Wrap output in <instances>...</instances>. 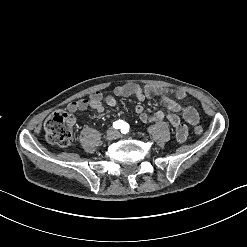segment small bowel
<instances>
[{
	"mask_svg": "<svg viewBox=\"0 0 247 247\" xmlns=\"http://www.w3.org/2000/svg\"><path fill=\"white\" fill-rule=\"evenodd\" d=\"M139 86L140 85L135 83L118 85L114 88L113 94H108L105 97L100 91H95L91 94L89 99L70 102L67 105V110L71 113H75L91 108L97 112H103L104 105L114 107L117 104V97L133 96L139 101H144L138 95ZM154 88L155 95L160 97L161 104L169 111V114L165 116L162 111L148 114L140 104L135 106V112L143 123L161 121L166 118L169 124L176 130L175 136L177 142L183 143L186 140L188 131L186 126L181 125L179 113L185 115L186 123L189 126L197 127L199 124L197 111L183 103V100L186 97L185 92L160 86H154Z\"/></svg>",
	"mask_w": 247,
	"mask_h": 247,
	"instance_id": "1",
	"label": "small bowel"
}]
</instances>
